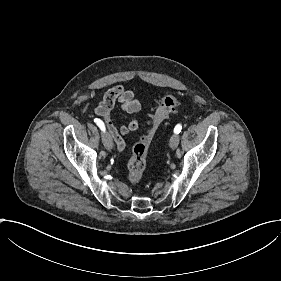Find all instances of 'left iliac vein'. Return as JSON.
Here are the masks:
<instances>
[{
    "mask_svg": "<svg viewBox=\"0 0 281 281\" xmlns=\"http://www.w3.org/2000/svg\"><path fill=\"white\" fill-rule=\"evenodd\" d=\"M178 143H179L178 136H176V134H175V136L171 137V140L169 142V146L171 148H176L178 146Z\"/></svg>",
    "mask_w": 281,
    "mask_h": 281,
    "instance_id": "left-iliac-vein-1",
    "label": "left iliac vein"
}]
</instances>
